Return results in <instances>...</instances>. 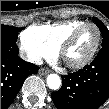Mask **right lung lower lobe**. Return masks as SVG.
Returning <instances> with one entry per match:
<instances>
[{
  "mask_svg": "<svg viewBox=\"0 0 109 109\" xmlns=\"http://www.w3.org/2000/svg\"><path fill=\"white\" fill-rule=\"evenodd\" d=\"M18 46L1 40V109L7 108L24 80L39 67L18 57Z\"/></svg>",
  "mask_w": 109,
  "mask_h": 109,
  "instance_id": "98d812e1",
  "label": "right lung lower lobe"
}]
</instances>
